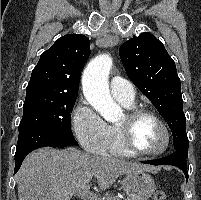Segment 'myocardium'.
Returning a JSON list of instances; mask_svg holds the SVG:
<instances>
[{
  "label": "myocardium",
  "mask_w": 201,
  "mask_h": 200,
  "mask_svg": "<svg viewBox=\"0 0 201 200\" xmlns=\"http://www.w3.org/2000/svg\"><path fill=\"white\" fill-rule=\"evenodd\" d=\"M143 118H151L162 129L164 133V144L160 149L154 151H142L134 145L132 138L133 129L135 125ZM117 128L122 146L131 155L140 157H156L164 154L170 146L171 135L168 126L160 116L152 111L142 108L130 109L125 115V121L121 124H118Z\"/></svg>",
  "instance_id": "1"
}]
</instances>
